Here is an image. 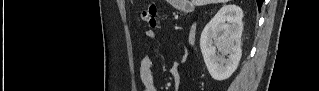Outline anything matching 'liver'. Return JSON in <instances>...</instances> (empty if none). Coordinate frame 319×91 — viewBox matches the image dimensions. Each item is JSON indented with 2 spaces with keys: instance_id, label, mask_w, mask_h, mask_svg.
<instances>
[{
  "instance_id": "liver-1",
  "label": "liver",
  "mask_w": 319,
  "mask_h": 91,
  "mask_svg": "<svg viewBox=\"0 0 319 91\" xmlns=\"http://www.w3.org/2000/svg\"><path fill=\"white\" fill-rule=\"evenodd\" d=\"M228 0H192V3L196 6L211 4V3H226Z\"/></svg>"
}]
</instances>
